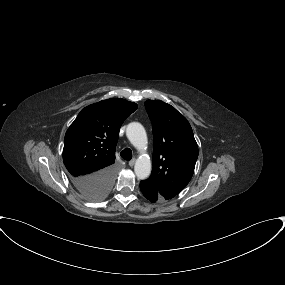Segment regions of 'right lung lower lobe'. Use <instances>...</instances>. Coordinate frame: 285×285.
<instances>
[{"label":"right lung lower lobe","instance_id":"98d812e1","mask_svg":"<svg viewBox=\"0 0 285 285\" xmlns=\"http://www.w3.org/2000/svg\"><path fill=\"white\" fill-rule=\"evenodd\" d=\"M115 167L104 168L96 173L86 176H72L71 182L84 197H90L97 193H109L113 185Z\"/></svg>","mask_w":285,"mask_h":285}]
</instances>
